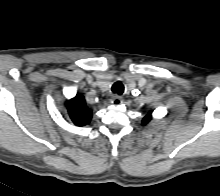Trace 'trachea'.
I'll use <instances>...</instances> for the list:
<instances>
[{
    "label": "trachea",
    "instance_id": "1",
    "mask_svg": "<svg viewBox=\"0 0 220 196\" xmlns=\"http://www.w3.org/2000/svg\"><path fill=\"white\" fill-rule=\"evenodd\" d=\"M111 89L113 93L117 95H122L124 92V85L122 84L121 81H117L113 84Z\"/></svg>",
    "mask_w": 220,
    "mask_h": 196
}]
</instances>
